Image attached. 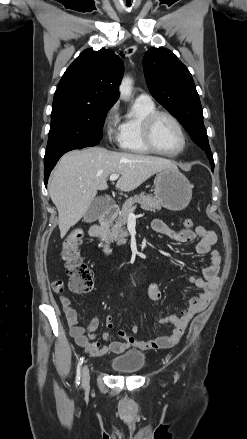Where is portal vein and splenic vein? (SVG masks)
<instances>
[{
	"mask_svg": "<svg viewBox=\"0 0 247 439\" xmlns=\"http://www.w3.org/2000/svg\"><path fill=\"white\" fill-rule=\"evenodd\" d=\"M119 177H120L119 174H112V175H110L109 179H110V181H114V180H117ZM134 209H135V208H133V209L130 211V213H129V216H130V217H133V216H134V213H133Z\"/></svg>",
	"mask_w": 247,
	"mask_h": 439,
	"instance_id": "1",
	"label": "portal vein and splenic vein"
}]
</instances>
